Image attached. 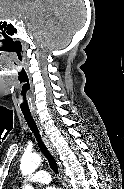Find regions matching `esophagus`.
<instances>
[{"instance_id": "obj_1", "label": "esophagus", "mask_w": 124, "mask_h": 189, "mask_svg": "<svg viewBox=\"0 0 124 189\" xmlns=\"http://www.w3.org/2000/svg\"><path fill=\"white\" fill-rule=\"evenodd\" d=\"M32 116H33V119L39 129V132H40V135L47 147V149L49 150V152L51 153V155L57 159V153H56V150L55 148L53 147V144L49 138V136L47 135L46 131H45V128L43 126V124L40 122L39 118L37 117V115L35 113H32ZM58 167H59V171L63 177L62 179V185H63V188L62 189H67L68 186L66 184V180H65V177L63 176V170H62V166L60 163H58Z\"/></svg>"}]
</instances>
